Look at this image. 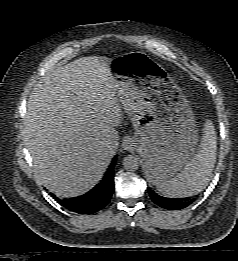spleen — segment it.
<instances>
[{
  "instance_id": "obj_1",
  "label": "spleen",
  "mask_w": 238,
  "mask_h": 261,
  "mask_svg": "<svg viewBox=\"0 0 238 261\" xmlns=\"http://www.w3.org/2000/svg\"><path fill=\"white\" fill-rule=\"evenodd\" d=\"M217 140L212 121L207 120L197 154L174 178L158 185L166 197H189L203 191L208 185L216 162Z\"/></svg>"
}]
</instances>
